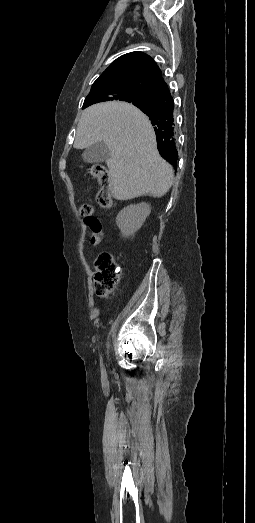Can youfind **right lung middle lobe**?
<instances>
[{
    "label": "right lung middle lobe",
    "instance_id": "obj_1",
    "mask_svg": "<svg viewBox=\"0 0 255 523\" xmlns=\"http://www.w3.org/2000/svg\"><path fill=\"white\" fill-rule=\"evenodd\" d=\"M121 100L126 102H143L148 100L146 92L139 89H127L106 97V100Z\"/></svg>",
    "mask_w": 255,
    "mask_h": 523
}]
</instances>
